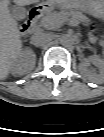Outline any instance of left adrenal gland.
Masks as SVG:
<instances>
[{"instance_id": "obj_1", "label": "left adrenal gland", "mask_w": 104, "mask_h": 137, "mask_svg": "<svg viewBox=\"0 0 104 137\" xmlns=\"http://www.w3.org/2000/svg\"><path fill=\"white\" fill-rule=\"evenodd\" d=\"M83 48H88L89 46H82Z\"/></svg>"}]
</instances>
